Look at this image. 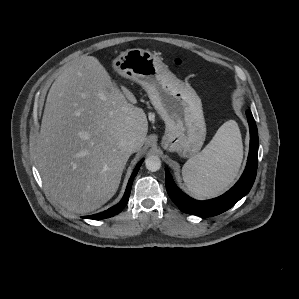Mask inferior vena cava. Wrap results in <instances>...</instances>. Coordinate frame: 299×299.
Wrapping results in <instances>:
<instances>
[{
    "label": "inferior vena cava",
    "mask_w": 299,
    "mask_h": 299,
    "mask_svg": "<svg viewBox=\"0 0 299 299\" xmlns=\"http://www.w3.org/2000/svg\"><path fill=\"white\" fill-rule=\"evenodd\" d=\"M120 148L123 152L131 154L135 152L136 142L135 140H124L120 143Z\"/></svg>",
    "instance_id": "602c4592"
}]
</instances>
